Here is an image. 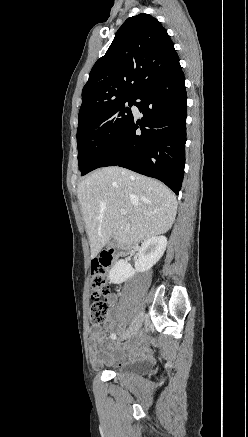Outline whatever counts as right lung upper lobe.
<instances>
[{
    "mask_svg": "<svg viewBox=\"0 0 248 437\" xmlns=\"http://www.w3.org/2000/svg\"><path fill=\"white\" fill-rule=\"evenodd\" d=\"M175 55L170 36L156 18L144 13L128 18L90 72L82 90L79 124L118 101L135 97Z\"/></svg>",
    "mask_w": 248,
    "mask_h": 437,
    "instance_id": "obj_1",
    "label": "right lung upper lobe"
}]
</instances>
